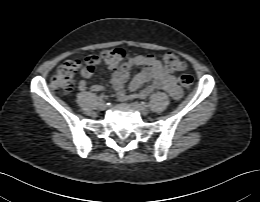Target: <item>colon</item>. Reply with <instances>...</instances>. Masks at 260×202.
<instances>
[{
    "label": "colon",
    "instance_id": "1",
    "mask_svg": "<svg viewBox=\"0 0 260 202\" xmlns=\"http://www.w3.org/2000/svg\"><path fill=\"white\" fill-rule=\"evenodd\" d=\"M125 52L121 48L104 50L101 54L102 61L109 67H116L124 58ZM163 66L170 72H181L186 69L185 62L174 53H166L162 57ZM97 63V57L89 56L85 59L75 58L63 63L50 80L52 89L69 92L73 89L76 75L83 70L93 71ZM180 84L185 89L193 86V77L187 74L181 75Z\"/></svg>",
    "mask_w": 260,
    "mask_h": 202
}]
</instances>
